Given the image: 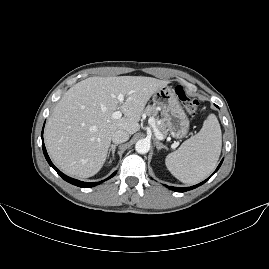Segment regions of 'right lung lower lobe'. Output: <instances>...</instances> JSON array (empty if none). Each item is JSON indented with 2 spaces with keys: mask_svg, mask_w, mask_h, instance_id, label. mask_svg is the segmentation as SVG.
I'll list each match as a JSON object with an SVG mask.
<instances>
[{
  "mask_svg": "<svg viewBox=\"0 0 269 269\" xmlns=\"http://www.w3.org/2000/svg\"><path fill=\"white\" fill-rule=\"evenodd\" d=\"M41 137H42V148H43V152H44V155H45V158L46 160L48 161L49 165L51 167H53L55 169V171L67 182L73 184V185H76L78 187H82V188H90V187H94L95 185L97 184H100L102 182H104L105 180H108L110 179L111 177H113L116 172H114L111 176H109L107 179L105 180H102L100 182H82V181H79V180H76V179H73V178H70L68 176H66L65 174H63L61 171H59L54 165L53 163L51 162L48 154H47V151H46V148L44 146V142H43V131H42V134H41Z\"/></svg>",
  "mask_w": 269,
  "mask_h": 269,
  "instance_id": "1",
  "label": "right lung lower lobe"
}]
</instances>
